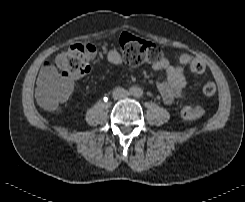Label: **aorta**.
<instances>
[{"label": "aorta", "mask_w": 245, "mask_h": 202, "mask_svg": "<svg viewBox=\"0 0 245 202\" xmlns=\"http://www.w3.org/2000/svg\"><path fill=\"white\" fill-rule=\"evenodd\" d=\"M132 93L134 96H140L142 94V90L138 87H134Z\"/></svg>", "instance_id": "762f6f07"}]
</instances>
